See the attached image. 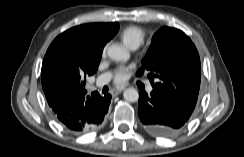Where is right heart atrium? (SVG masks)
Here are the masks:
<instances>
[{"instance_id": "right-heart-atrium-1", "label": "right heart atrium", "mask_w": 244, "mask_h": 157, "mask_svg": "<svg viewBox=\"0 0 244 157\" xmlns=\"http://www.w3.org/2000/svg\"><path fill=\"white\" fill-rule=\"evenodd\" d=\"M105 53H106V50L104 49V50H103V56L105 55Z\"/></svg>"}]
</instances>
